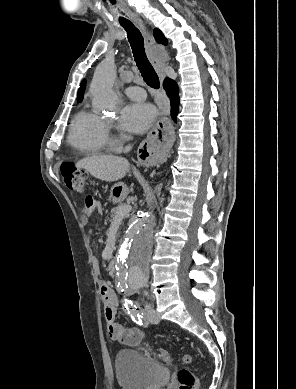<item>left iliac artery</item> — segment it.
<instances>
[{
    "instance_id": "obj_1",
    "label": "left iliac artery",
    "mask_w": 296,
    "mask_h": 389,
    "mask_svg": "<svg viewBox=\"0 0 296 389\" xmlns=\"http://www.w3.org/2000/svg\"><path fill=\"white\" fill-rule=\"evenodd\" d=\"M124 306L128 310V314L131 316L132 320L139 325H143L142 318H144V314L141 312L139 306L128 299H125Z\"/></svg>"
}]
</instances>
